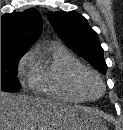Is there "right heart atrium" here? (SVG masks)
<instances>
[{
    "label": "right heart atrium",
    "mask_w": 123,
    "mask_h": 130,
    "mask_svg": "<svg viewBox=\"0 0 123 130\" xmlns=\"http://www.w3.org/2000/svg\"><path fill=\"white\" fill-rule=\"evenodd\" d=\"M34 52L29 51L19 63V75L21 77H28L30 79L33 73Z\"/></svg>",
    "instance_id": "right-heart-atrium-1"
}]
</instances>
